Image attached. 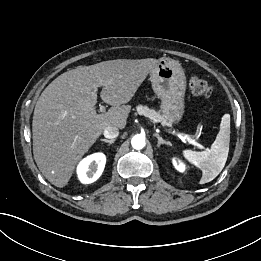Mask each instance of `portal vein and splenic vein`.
I'll return each instance as SVG.
<instances>
[{
    "mask_svg": "<svg viewBox=\"0 0 261 261\" xmlns=\"http://www.w3.org/2000/svg\"><path fill=\"white\" fill-rule=\"evenodd\" d=\"M105 106H103V105H100V107H99V111L100 112H105ZM179 136H180V138L182 139V140H186V141H188L190 144H192V145H194V146H197L198 148H200V149H205V147L203 146V145H201V144H199L198 142H196L195 140H193V139H191L189 136H187V135H183V134H179Z\"/></svg>",
    "mask_w": 261,
    "mask_h": 261,
    "instance_id": "18ae733b",
    "label": "portal vein and splenic vein"
}]
</instances>
